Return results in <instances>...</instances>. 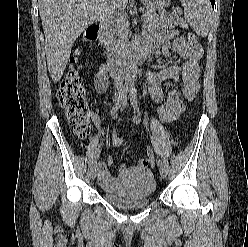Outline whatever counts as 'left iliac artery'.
<instances>
[{"label":"left iliac artery","instance_id":"1","mask_svg":"<svg viewBox=\"0 0 248 247\" xmlns=\"http://www.w3.org/2000/svg\"><path fill=\"white\" fill-rule=\"evenodd\" d=\"M130 99H131V104L133 105V108L135 110V112L137 113V115L140 117L141 113L139 111V107H138V103H137V98H136V91L134 88L130 89ZM152 145L154 147L155 152L158 154V148L157 145L155 143V141L152 139ZM160 161V160H159Z\"/></svg>","mask_w":248,"mask_h":247}]
</instances>
